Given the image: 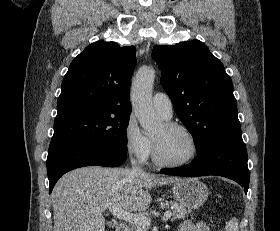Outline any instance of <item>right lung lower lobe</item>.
Wrapping results in <instances>:
<instances>
[{
    "label": "right lung lower lobe",
    "instance_id": "obj_1",
    "mask_svg": "<svg viewBox=\"0 0 280 231\" xmlns=\"http://www.w3.org/2000/svg\"><path fill=\"white\" fill-rule=\"evenodd\" d=\"M125 160L126 155L120 154L117 149L75 138H52L46 161L49 194L58 179L70 170L92 165L117 167Z\"/></svg>",
    "mask_w": 280,
    "mask_h": 231
}]
</instances>
